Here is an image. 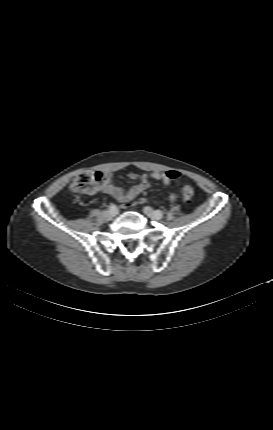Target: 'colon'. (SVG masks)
Masks as SVG:
<instances>
[{
  "label": "colon",
  "instance_id": "5ec220e1",
  "mask_svg": "<svg viewBox=\"0 0 273 430\" xmlns=\"http://www.w3.org/2000/svg\"><path fill=\"white\" fill-rule=\"evenodd\" d=\"M102 178V174L97 171H85L76 176L71 184V190L76 194H90L93 193L97 184ZM194 195V188L186 185L183 188V197L185 200H190Z\"/></svg>",
  "mask_w": 273,
  "mask_h": 430
}]
</instances>
